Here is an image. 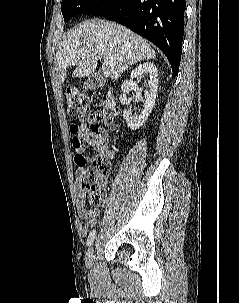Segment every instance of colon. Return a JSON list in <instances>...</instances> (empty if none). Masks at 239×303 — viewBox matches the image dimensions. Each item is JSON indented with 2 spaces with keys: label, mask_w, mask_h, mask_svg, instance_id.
Returning a JSON list of instances; mask_svg holds the SVG:
<instances>
[{
  "label": "colon",
  "mask_w": 239,
  "mask_h": 303,
  "mask_svg": "<svg viewBox=\"0 0 239 303\" xmlns=\"http://www.w3.org/2000/svg\"><path fill=\"white\" fill-rule=\"evenodd\" d=\"M67 112L71 116L85 119L91 122L112 123L110 113L105 109L92 111L90 109L89 96L76 88H68L65 93ZM109 170V162L105 159L98 160L94 167L85 170L80 177L81 191L86 203L92 206H100L106 200V179Z\"/></svg>",
  "instance_id": "colon-1"
}]
</instances>
